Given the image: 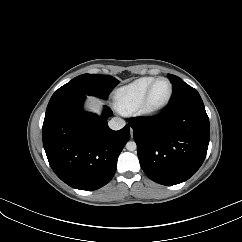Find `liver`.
I'll use <instances>...</instances> for the list:
<instances>
[{"label": "liver", "instance_id": "1", "mask_svg": "<svg viewBox=\"0 0 242 242\" xmlns=\"http://www.w3.org/2000/svg\"><path fill=\"white\" fill-rule=\"evenodd\" d=\"M101 102L95 98H89L88 103L86 105L87 109L94 113L100 112Z\"/></svg>", "mask_w": 242, "mask_h": 242}]
</instances>
